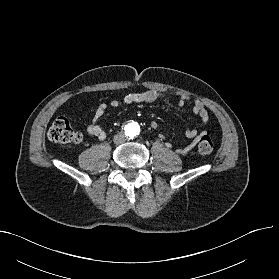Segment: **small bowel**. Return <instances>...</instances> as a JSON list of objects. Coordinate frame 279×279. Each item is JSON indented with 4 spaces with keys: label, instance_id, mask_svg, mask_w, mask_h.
<instances>
[{
    "label": "small bowel",
    "instance_id": "1",
    "mask_svg": "<svg viewBox=\"0 0 279 279\" xmlns=\"http://www.w3.org/2000/svg\"><path fill=\"white\" fill-rule=\"evenodd\" d=\"M164 97V94L156 91V90H145L141 92H131L125 94L120 99H113L110 101V106L113 108H118L125 105H131V104H138V103H152L159 99H162ZM191 98L187 95H183L179 98L178 106L183 107L187 102H189ZM107 109V105L105 103H101L97 106L93 121L87 126V132L92 137L98 139V140H104L106 138V132L104 129L99 125L98 120L103 116ZM193 113L198 116L203 125H207L209 121V113L202 102L199 100L193 101L192 106ZM207 131L202 130L199 131L197 129H188L186 131V136L192 139V142L179 147L176 149L177 153L179 154H186L188 153L200 140L201 136L206 135ZM168 147H171V143H167Z\"/></svg>",
    "mask_w": 279,
    "mask_h": 279
}]
</instances>
